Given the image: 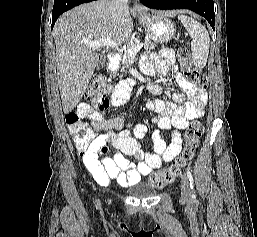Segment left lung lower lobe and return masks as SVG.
<instances>
[{
    "label": "left lung lower lobe",
    "instance_id": "obj_1",
    "mask_svg": "<svg viewBox=\"0 0 257 237\" xmlns=\"http://www.w3.org/2000/svg\"><path fill=\"white\" fill-rule=\"evenodd\" d=\"M141 3L153 9H189L203 16L214 29L215 14L213 0H140Z\"/></svg>",
    "mask_w": 257,
    "mask_h": 237
}]
</instances>
